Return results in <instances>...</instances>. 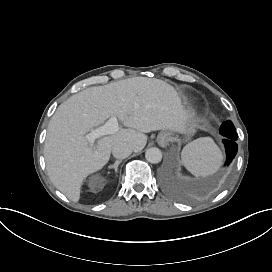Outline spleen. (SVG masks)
I'll return each instance as SVG.
<instances>
[{"label": "spleen", "mask_w": 272, "mask_h": 272, "mask_svg": "<svg viewBox=\"0 0 272 272\" xmlns=\"http://www.w3.org/2000/svg\"><path fill=\"white\" fill-rule=\"evenodd\" d=\"M182 159L186 169L195 175L212 173L222 162L220 150L209 138H199L187 144Z\"/></svg>", "instance_id": "obj_1"}]
</instances>
